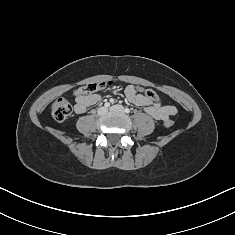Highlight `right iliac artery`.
<instances>
[{"mask_svg":"<svg viewBox=\"0 0 235 235\" xmlns=\"http://www.w3.org/2000/svg\"><path fill=\"white\" fill-rule=\"evenodd\" d=\"M104 106H105L106 108H108V107L110 106V104L107 102V103L104 104Z\"/></svg>","mask_w":235,"mask_h":235,"instance_id":"right-iliac-artery-1","label":"right iliac artery"}]
</instances>
